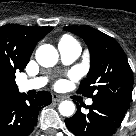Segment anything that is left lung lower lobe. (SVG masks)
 Segmentation results:
<instances>
[{
    "instance_id": "0a47b994",
    "label": "left lung lower lobe",
    "mask_w": 136,
    "mask_h": 136,
    "mask_svg": "<svg viewBox=\"0 0 136 136\" xmlns=\"http://www.w3.org/2000/svg\"><path fill=\"white\" fill-rule=\"evenodd\" d=\"M89 112H77L65 120L68 129L76 136H110L121 123L129 107L111 101L93 99V104L87 107Z\"/></svg>"
}]
</instances>
